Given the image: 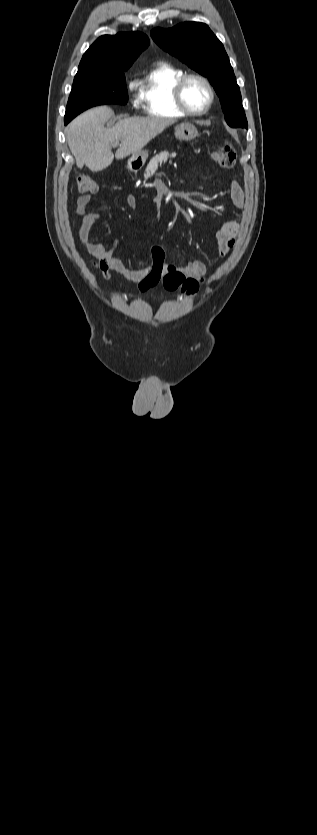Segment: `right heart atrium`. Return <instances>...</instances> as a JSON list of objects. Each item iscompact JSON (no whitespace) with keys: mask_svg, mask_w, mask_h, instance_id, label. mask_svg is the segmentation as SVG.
I'll return each mask as SVG.
<instances>
[{"mask_svg":"<svg viewBox=\"0 0 317 835\" xmlns=\"http://www.w3.org/2000/svg\"><path fill=\"white\" fill-rule=\"evenodd\" d=\"M133 86H134V83H133V82H130V83H129V87H130V88H132Z\"/></svg>","mask_w":317,"mask_h":835,"instance_id":"right-heart-atrium-1","label":"right heart atrium"}]
</instances>
